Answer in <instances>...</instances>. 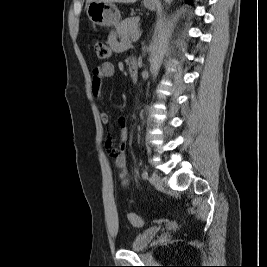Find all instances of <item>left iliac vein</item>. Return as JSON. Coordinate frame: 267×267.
Masks as SVG:
<instances>
[{
	"label": "left iliac vein",
	"instance_id": "left-iliac-vein-1",
	"mask_svg": "<svg viewBox=\"0 0 267 267\" xmlns=\"http://www.w3.org/2000/svg\"><path fill=\"white\" fill-rule=\"evenodd\" d=\"M150 181L152 183V185L156 188V189H161L163 186L162 180L160 178L159 175H157L156 173H153L151 175Z\"/></svg>",
	"mask_w": 267,
	"mask_h": 267
}]
</instances>
